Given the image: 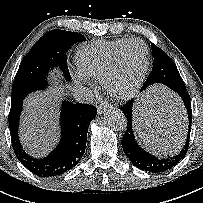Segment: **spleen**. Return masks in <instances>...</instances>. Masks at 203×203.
Masks as SVG:
<instances>
[{
    "label": "spleen",
    "mask_w": 203,
    "mask_h": 203,
    "mask_svg": "<svg viewBox=\"0 0 203 203\" xmlns=\"http://www.w3.org/2000/svg\"><path fill=\"white\" fill-rule=\"evenodd\" d=\"M152 102L156 105V108L164 110L168 107V104L172 101H178L170 92L164 89H154L152 94H148ZM184 138H180L174 145L165 150L164 152L175 153L181 148Z\"/></svg>",
    "instance_id": "spleen-1"
}]
</instances>
